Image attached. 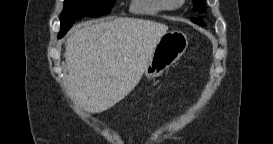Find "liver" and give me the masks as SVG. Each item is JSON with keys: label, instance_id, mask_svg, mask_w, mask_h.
Returning a JSON list of instances; mask_svg holds the SVG:
<instances>
[{"label": "liver", "instance_id": "obj_1", "mask_svg": "<svg viewBox=\"0 0 273 144\" xmlns=\"http://www.w3.org/2000/svg\"><path fill=\"white\" fill-rule=\"evenodd\" d=\"M168 26L120 17L79 25L66 41L71 89L89 113H101L139 83Z\"/></svg>", "mask_w": 273, "mask_h": 144}]
</instances>
